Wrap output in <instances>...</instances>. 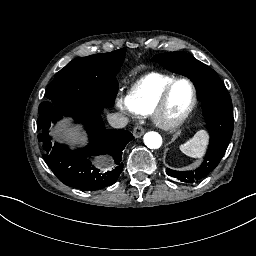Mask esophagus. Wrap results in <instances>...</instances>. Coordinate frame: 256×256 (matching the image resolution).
I'll use <instances>...</instances> for the list:
<instances>
[{"label": "esophagus", "instance_id": "34e87169", "mask_svg": "<svg viewBox=\"0 0 256 256\" xmlns=\"http://www.w3.org/2000/svg\"><path fill=\"white\" fill-rule=\"evenodd\" d=\"M144 128L141 125H137L134 127L133 129V134L135 136V138H139L144 134Z\"/></svg>", "mask_w": 256, "mask_h": 256}]
</instances>
